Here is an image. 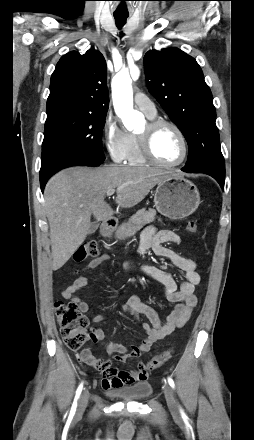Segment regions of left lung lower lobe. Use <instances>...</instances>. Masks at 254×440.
Instances as JSON below:
<instances>
[{
    "label": "left lung lower lobe",
    "instance_id": "obj_1",
    "mask_svg": "<svg viewBox=\"0 0 254 440\" xmlns=\"http://www.w3.org/2000/svg\"><path fill=\"white\" fill-rule=\"evenodd\" d=\"M182 170L185 171L184 169H182ZM185 172H190V171H185ZM197 172L205 173V174L212 176L213 178H215L217 180V182L220 184L221 188L224 189L225 174H221V173H218L213 170H200ZM190 173H192V172H190Z\"/></svg>",
    "mask_w": 254,
    "mask_h": 440
}]
</instances>
